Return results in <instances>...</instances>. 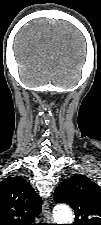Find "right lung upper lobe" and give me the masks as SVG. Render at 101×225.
Listing matches in <instances>:
<instances>
[{
  "label": "right lung upper lobe",
  "mask_w": 101,
  "mask_h": 225,
  "mask_svg": "<svg viewBox=\"0 0 101 225\" xmlns=\"http://www.w3.org/2000/svg\"><path fill=\"white\" fill-rule=\"evenodd\" d=\"M41 212V198L23 178L0 182V225H35Z\"/></svg>",
  "instance_id": "right-lung-upper-lobe-1"
}]
</instances>
